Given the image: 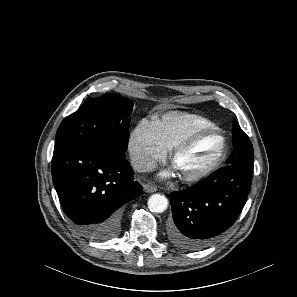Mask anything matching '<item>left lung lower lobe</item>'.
<instances>
[{
	"mask_svg": "<svg viewBox=\"0 0 297 297\" xmlns=\"http://www.w3.org/2000/svg\"><path fill=\"white\" fill-rule=\"evenodd\" d=\"M254 164L226 165L182 191L172 192L170 242L183 250L213 243L240 215L251 189Z\"/></svg>",
	"mask_w": 297,
	"mask_h": 297,
	"instance_id": "left-lung-lower-lobe-1",
	"label": "left lung lower lobe"
}]
</instances>
